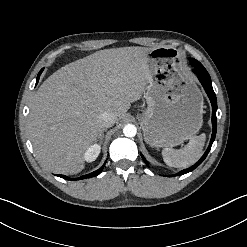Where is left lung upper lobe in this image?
I'll return each mask as SVG.
<instances>
[{
	"label": "left lung upper lobe",
	"mask_w": 247,
	"mask_h": 247,
	"mask_svg": "<svg viewBox=\"0 0 247 247\" xmlns=\"http://www.w3.org/2000/svg\"><path fill=\"white\" fill-rule=\"evenodd\" d=\"M189 60H190L191 63H195V64L201 65V63H200L199 61H197L196 59H194V58H190ZM202 66H203V65H202ZM202 70H203V69H202ZM207 73H208V72H207Z\"/></svg>",
	"instance_id": "1"
}]
</instances>
